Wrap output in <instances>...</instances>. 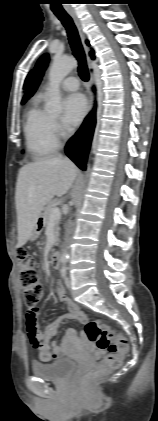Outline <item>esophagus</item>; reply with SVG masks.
<instances>
[{"label": "esophagus", "instance_id": "obj_1", "mask_svg": "<svg viewBox=\"0 0 158 421\" xmlns=\"http://www.w3.org/2000/svg\"><path fill=\"white\" fill-rule=\"evenodd\" d=\"M69 15L73 19L74 24H75V26H76V28L78 30V33H79V36H80V39H81V42H82V45H83V49H84V52H85V55H86V59H87V63H88V69H89V74H90L89 88L91 90L92 85L94 83V70L92 68V60H91V58L89 56L90 49H89V47L85 43L86 36H85V34L83 32V28H82L80 19L77 17V15H76V13L74 11H70L69 12ZM93 104H94V95H93L92 91H90V111L93 108Z\"/></svg>", "mask_w": 158, "mask_h": 421}]
</instances>
